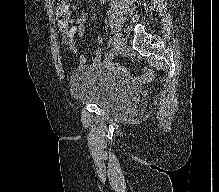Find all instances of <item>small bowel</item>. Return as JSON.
<instances>
[{"instance_id":"small-bowel-1","label":"small bowel","mask_w":219,"mask_h":192,"mask_svg":"<svg viewBox=\"0 0 219 192\" xmlns=\"http://www.w3.org/2000/svg\"><path fill=\"white\" fill-rule=\"evenodd\" d=\"M75 8L74 6L67 5L66 3L62 8H56V17L59 22V29L63 33V41L69 48L77 52L78 50V43L75 40V36L78 35L80 37L84 36L85 34V23L88 18L87 12L83 11L76 17H70V12L73 11ZM64 20L66 23L65 26L60 25V21ZM96 42L99 45V47L95 50V60L94 63L96 65L102 64V48L100 47L102 44V38L97 37ZM80 62L85 63L86 62V56L84 54H81L80 56ZM153 78V71L148 70L146 71L142 76V81H147Z\"/></svg>"}]
</instances>
